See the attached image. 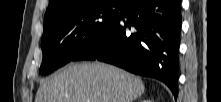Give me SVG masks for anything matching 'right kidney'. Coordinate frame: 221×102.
Here are the masks:
<instances>
[{"mask_svg": "<svg viewBox=\"0 0 221 102\" xmlns=\"http://www.w3.org/2000/svg\"><path fill=\"white\" fill-rule=\"evenodd\" d=\"M144 102H150V100H144Z\"/></svg>", "mask_w": 221, "mask_h": 102, "instance_id": "right-kidney-1", "label": "right kidney"}]
</instances>
